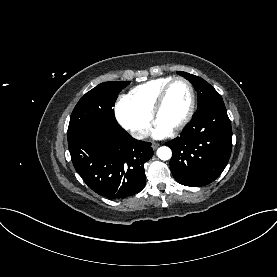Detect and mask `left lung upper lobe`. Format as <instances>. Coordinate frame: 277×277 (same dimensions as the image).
Segmentation results:
<instances>
[{"mask_svg": "<svg viewBox=\"0 0 277 277\" xmlns=\"http://www.w3.org/2000/svg\"><path fill=\"white\" fill-rule=\"evenodd\" d=\"M177 73L189 80L197 91V111L201 110L215 100L222 99L221 95L204 79L182 71H179Z\"/></svg>", "mask_w": 277, "mask_h": 277, "instance_id": "left-lung-upper-lobe-1", "label": "left lung upper lobe"}]
</instances>
